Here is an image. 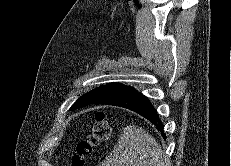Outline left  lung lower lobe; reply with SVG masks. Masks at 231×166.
<instances>
[{
    "instance_id": "0a47b994",
    "label": "left lung lower lobe",
    "mask_w": 231,
    "mask_h": 166,
    "mask_svg": "<svg viewBox=\"0 0 231 166\" xmlns=\"http://www.w3.org/2000/svg\"><path fill=\"white\" fill-rule=\"evenodd\" d=\"M91 104H105L130 109L149 120L165 137L163 124L149 99L135 88L120 85L114 90L100 96Z\"/></svg>"
}]
</instances>
